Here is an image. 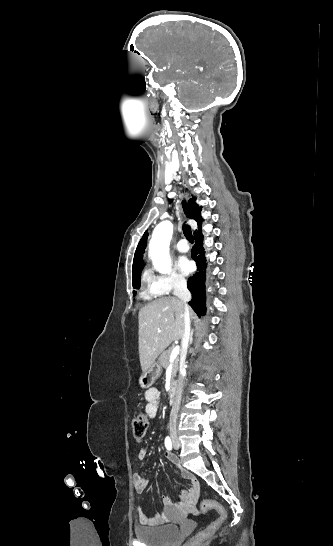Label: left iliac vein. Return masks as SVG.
Masks as SVG:
<instances>
[{"mask_svg": "<svg viewBox=\"0 0 333 546\" xmlns=\"http://www.w3.org/2000/svg\"><path fill=\"white\" fill-rule=\"evenodd\" d=\"M174 447H175V449H177V446H176V445H174Z\"/></svg>", "mask_w": 333, "mask_h": 546, "instance_id": "4c4485c4", "label": "left iliac vein"}]
</instances>
